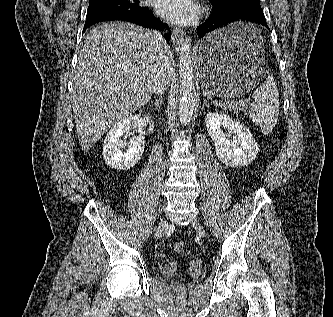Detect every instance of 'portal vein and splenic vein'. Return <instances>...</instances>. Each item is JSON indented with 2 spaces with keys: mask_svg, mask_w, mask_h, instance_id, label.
I'll return each mask as SVG.
<instances>
[{
  "mask_svg": "<svg viewBox=\"0 0 333 317\" xmlns=\"http://www.w3.org/2000/svg\"><path fill=\"white\" fill-rule=\"evenodd\" d=\"M233 103H235V104H246L247 103V101H239V103L238 102H233Z\"/></svg>",
  "mask_w": 333,
  "mask_h": 317,
  "instance_id": "obj_1",
  "label": "portal vein and splenic vein"
}]
</instances>
